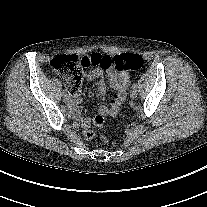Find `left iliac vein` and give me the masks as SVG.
Masks as SVG:
<instances>
[{
    "mask_svg": "<svg viewBox=\"0 0 207 207\" xmlns=\"http://www.w3.org/2000/svg\"><path fill=\"white\" fill-rule=\"evenodd\" d=\"M137 95H138L137 88H132V89H131V92H130V96H131L132 98H136Z\"/></svg>",
    "mask_w": 207,
    "mask_h": 207,
    "instance_id": "1",
    "label": "left iliac vein"
}]
</instances>
